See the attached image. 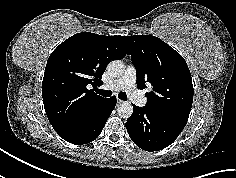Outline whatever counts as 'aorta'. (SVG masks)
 <instances>
[{"label":"aorta","mask_w":236,"mask_h":178,"mask_svg":"<svg viewBox=\"0 0 236 178\" xmlns=\"http://www.w3.org/2000/svg\"><path fill=\"white\" fill-rule=\"evenodd\" d=\"M107 70L112 76L118 77L123 74L124 66L120 60H114L108 64ZM117 113L121 118H129L133 114V106L129 102H122L117 106Z\"/></svg>","instance_id":"aorta-1"}]
</instances>
